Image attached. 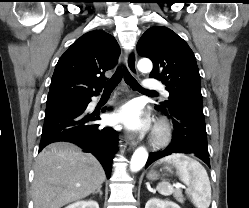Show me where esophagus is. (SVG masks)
I'll return each mask as SVG.
<instances>
[{
	"label": "esophagus",
	"instance_id": "34e87169",
	"mask_svg": "<svg viewBox=\"0 0 249 208\" xmlns=\"http://www.w3.org/2000/svg\"><path fill=\"white\" fill-rule=\"evenodd\" d=\"M126 65L128 70L133 74V75H137L138 71H137V54L135 50H131L130 52H128L127 56H126ZM126 138L128 140V143L130 144L131 147H136L137 145V140L135 138V136L132 133H127Z\"/></svg>",
	"mask_w": 249,
	"mask_h": 208
}]
</instances>
